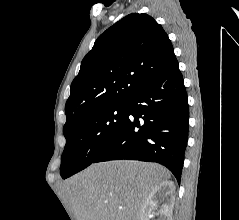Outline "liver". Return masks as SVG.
<instances>
[{
  "label": "liver",
  "mask_w": 239,
  "mask_h": 220,
  "mask_svg": "<svg viewBox=\"0 0 239 220\" xmlns=\"http://www.w3.org/2000/svg\"><path fill=\"white\" fill-rule=\"evenodd\" d=\"M169 178L158 164L115 160L90 165L64 191L76 220H140L147 196Z\"/></svg>",
  "instance_id": "obj_1"
}]
</instances>
